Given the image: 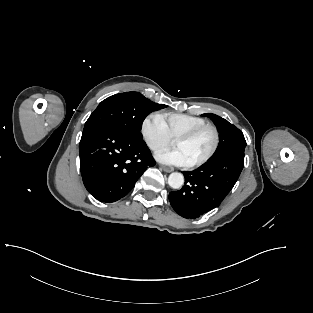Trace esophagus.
<instances>
[{"label":"esophagus","instance_id":"obj_1","mask_svg":"<svg viewBox=\"0 0 313 313\" xmlns=\"http://www.w3.org/2000/svg\"><path fill=\"white\" fill-rule=\"evenodd\" d=\"M160 168L167 173H170L174 170L172 167H167V166H161Z\"/></svg>","mask_w":313,"mask_h":313}]
</instances>
